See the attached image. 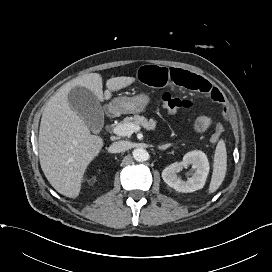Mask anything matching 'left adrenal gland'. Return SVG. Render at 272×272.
Wrapping results in <instances>:
<instances>
[{
    "label": "left adrenal gland",
    "mask_w": 272,
    "mask_h": 272,
    "mask_svg": "<svg viewBox=\"0 0 272 272\" xmlns=\"http://www.w3.org/2000/svg\"><path fill=\"white\" fill-rule=\"evenodd\" d=\"M168 147H170V144L158 146L159 150H166Z\"/></svg>",
    "instance_id": "obj_1"
}]
</instances>
